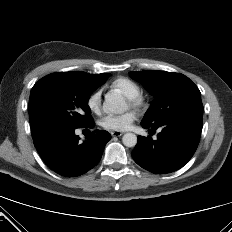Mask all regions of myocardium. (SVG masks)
Instances as JSON below:
<instances>
[{
	"label": "myocardium",
	"mask_w": 232,
	"mask_h": 232,
	"mask_svg": "<svg viewBox=\"0 0 232 232\" xmlns=\"http://www.w3.org/2000/svg\"><path fill=\"white\" fill-rule=\"evenodd\" d=\"M127 99L131 107L139 109L144 106V98L141 95H138L132 98H127Z\"/></svg>",
	"instance_id": "obj_1"
}]
</instances>
